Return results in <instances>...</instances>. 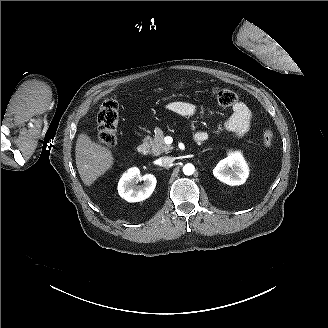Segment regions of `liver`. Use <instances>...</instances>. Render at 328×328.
<instances>
[{
	"instance_id": "liver-1",
	"label": "liver",
	"mask_w": 328,
	"mask_h": 328,
	"mask_svg": "<svg viewBox=\"0 0 328 328\" xmlns=\"http://www.w3.org/2000/svg\"><path fill=\"white\" fill-rule=\"evenodd\" d=\"M75 158L80 178L87 187L112 170L116 161L109 147L95 142L86 132L78 135Z\"/></svg>"
}]
</instances>
